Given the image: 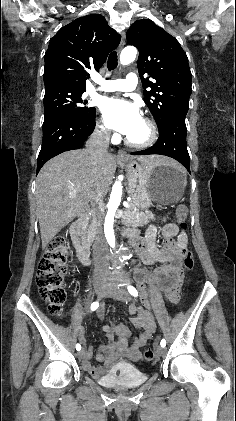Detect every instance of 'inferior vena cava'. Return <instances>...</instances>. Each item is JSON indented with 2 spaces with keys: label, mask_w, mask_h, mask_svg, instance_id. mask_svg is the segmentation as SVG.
<instances>
[{
  "label": "inferior vena cava",
  "mask_w": 236,
  "mask_h": 421,
  "mask_svg": "<svg viewBox=\"0 0 236 421\" xmlns=\"http://www.w3.org/2000/svg\"><path fill=\"white\" fill-rule=\"evenodd\" d=\"M110 134V130L105 128V126H96L89 140H87L86 152H88L92 164H98V162H101L103 154H108L107 148L109 146ZM103 196L104 194H102V192H95L94 194V200L96 202L94 219L97 233L94 241L93 253L95 269L101 271V273H110L109 259L108 257H104V251H106L107 245L101 229L103 217L101 206L104 204Z\"/></svg>",
  "instance_id": "inferior-vena-cava-1"
}]
</instances>
